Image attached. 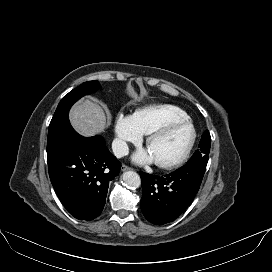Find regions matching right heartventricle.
<instances>
[{
  "instance_id": "obj_1",
  "label": "right heart ventricle",
  "mask_w": 272,
  "mask_h": 272,
  "mask_svg": "<svg viewBox=\"0 0 272 272\" xmlns=\"http://www.w3.org/2000/svg\"><path fill=\"white\" fill-rule=\"evenodd\" d=\"M132 117L138 131L147 135L167 122L187 119L188 115L178 106L159 104L139 109Z\"/></svg>"
}]
</instances>
